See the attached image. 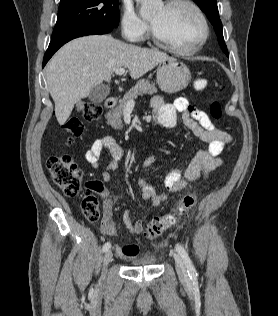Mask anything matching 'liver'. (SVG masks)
I'll list each match as a JSON object with an SVG mask.
<instances>
[{"mask_svg": "<svg viewBox=\"0 0 278 316\" xmlns=\"http://www.w3.org/2000/svg\"><path fill=\"white\" fill-rule=\"evenodd\" d=\"M170 57L163 52L138 47L111 35L85 36L64 45L49 61L46 80L55 103V115L64 124L81 99L116 69L127 67L138 79Z\"/></svg>", "mask_w": 278, "mask_h": 316, "instance_id": "6515ba94", "label": "liver"}]
</instances>
